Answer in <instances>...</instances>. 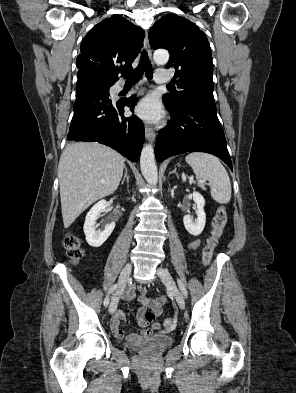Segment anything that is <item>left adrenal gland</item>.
<instances>
[{
	"label": "left adrenal gland",
	"instance_id": "obj_1",
	"mask_svg": "<svg viewBox=\"0 0 296 393\" xmlns=\"http://www.w3.org/2000/svg\"><path fill=\"white\" fill-rule=\"evenodd\" d=\"M170 174H175L178 178H179V175H178V173H177V171H176V168L173 170V171H171L170 173H169V175Z\"/></svg>",
	"mask_w": 296,
	"mask_h": 393
}]
</instances>
